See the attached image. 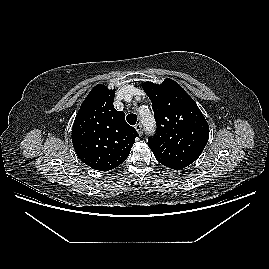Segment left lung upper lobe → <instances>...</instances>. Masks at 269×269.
Masks as SVG:
<instances>
[{"label":"left lung upper lobe","mask_w":269,"mask_h":269,"mask_svg":"<svg viewBox=\"0 0 269 269\" xmlns=\"http://www.w3.org/2000/svg\"><path fill=\"white\" fill-rule=\"evenodd\" d=\"M143 89L152 102L156 134L148 146L164 166L187 167L202 153L209 138V126L194 100L174 80L162 84L145 82Z\"/></svg>","instance_id":"1"}]
</instances>
